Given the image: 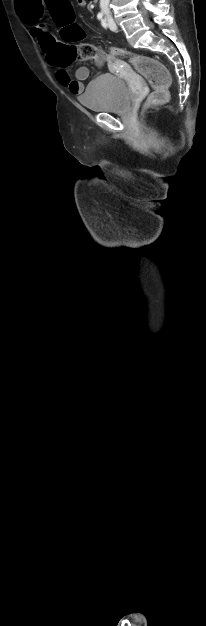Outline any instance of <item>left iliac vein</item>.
Segmentation results:
<instances>
[{"mask_svg": "<svg viewBox=\"0 0 206 626\" xmlns=\"http://www.w3.org/2000/svg\"><path fill=\"white\" fill-rule=\"evenodd\" d=\"M108 26L112 31L117 30V25L112 18L108 20Z\"/></svg>", "mask_w": 206, "mask_h": 626, "instance_id": "4c4485c4", "label": "left iliac vein"}]
</instances>
